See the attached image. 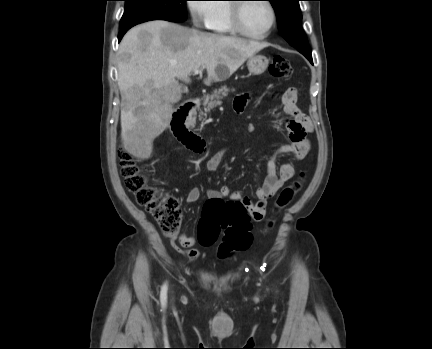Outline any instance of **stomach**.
Here are the masks:
<instances>
[{
    "label": "stomach",
    "mask_w": 432,
    "mask_h": 349,
    "mask_svg": "<svg viewBox=\"0 0 432 349\" xmlns=\"http://www.w3.org/2000/svg\"><path fill=\"white\" fill-rule=\"evenodd\" d=\"M269 59L264 55H256L248 58L247 67L251 74H262L268 67Z\"/></svg>",
    "instance_id": "stomach-1"
}]
</instances>
